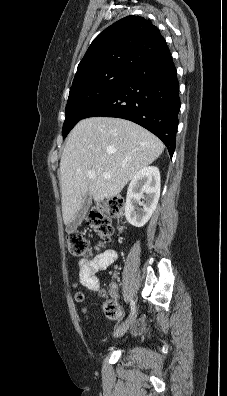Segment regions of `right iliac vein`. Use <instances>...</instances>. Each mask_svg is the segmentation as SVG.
Listing matches in <instances>:
<instances>
[{"instance_id": "1", "label": "right iliac vein", "mask_w": 227, "mask_h": 396, "mask_svg": "<svg viewBox=\"0 0 227 396\" xmlns=\"http://www.w3.org/2000/svg\"><path fill=\"white\" fill-rule=\"evenodd\" d=\"M136 315L133 314V316L126 322L124 323L119 329L116 330L114 333L115 337H121L123 336L127 330L132 326L134 320H135Z\"/></svg>"}]
</instances>
